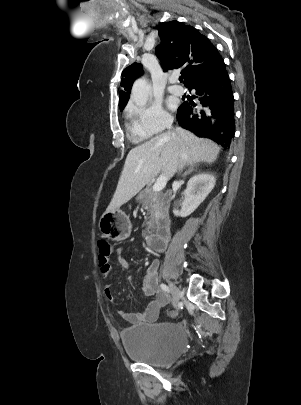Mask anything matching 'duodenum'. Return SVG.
Returning a JSON list of instances; mask_svg holds the SVG:
<instances>
[{
	"label": "duodenum",
	"instance_id": "410a0bca",
	"mask_svg": "<svg viewBox=\"0 0 301 405\" xmlns=\"http://www.w3.org/2000/svg\"><path fill=\"white\" fill-rule=\"evenodd\" d=\"M172 195L166 191L160 196V215L154 233L147 236V243L151 249L162 252L166 249L170 237L169 208Z\"/></svg>",
	"mask_w": 301,
	"mask_h": 405
}]
</instances>
